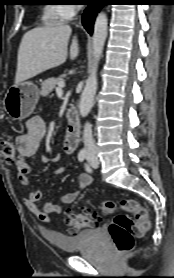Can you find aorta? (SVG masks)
<instances>
[{
	"label": "aorta",
	"mask_w": 174,
	"mask_h": 278,
	"mask_svg": "<svg viewBox=\"0 0 174 278\" xmlns=\"http://www.w3.org/2000/svg\"><path fill=\"white\" fill-rule=\"evenodd\" d=\"M107 15L100 12L95 20L93 32V65L89 71V77L86 80L84 90L81 94L79 103V113L82 117H86L93 106L95 93L97 90V70L98 63L102 56L105 40L107 37Z\"/></svg>",
	"instance_id": "1"
}]
</instances>
